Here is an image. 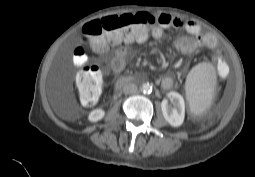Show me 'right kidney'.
<instances>
[{"mask_svg": "<svg viewBox=\"0 0 255 177\" xmlns=\"http://www.w3.org/2000/svg\"><path fill=\"white\" fill-rule=\"evenodd\" d=\"M105 115V111L102 109H94L89 113L88 119L91 122H97L101 120Z\"/></svg>", "mask_w": 255, "mask_h": 177, "instance_id": "obj_1", "label": "right kidney"}]
</instances>
